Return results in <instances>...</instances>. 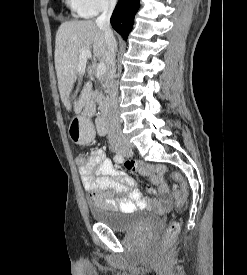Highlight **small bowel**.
I'll return each mask as SVG.
<instances>
[{
    "label": "small bowel",
    "instance_id": "1",
    "mask_svg": "<svg viewBox=\"0 0 247 275\" xmlns=\"http://www.w3.org/2000/svg\"><path fill=\"white\" fill-rule=\"evenodd\" d=\"M132 171L149 175L156 189L150 188L153 193L160 195L158 206L160 209H169L172 205V197L168 186L163 179L165 167L158 165L156 174L142 162H138ZM82 184L93 204L108 211L130 212L137 207H145L146 199L141 195L134 180L114 164L101 148L94 149L88 160L79 167ZM126 192L130 200H124L116 196Z\"/></svg>",
    "mask_w": 247,
    "mask_h": 275
}]
</instances>
